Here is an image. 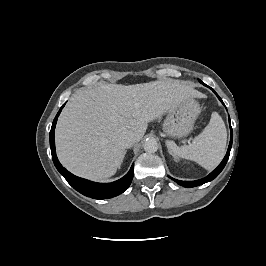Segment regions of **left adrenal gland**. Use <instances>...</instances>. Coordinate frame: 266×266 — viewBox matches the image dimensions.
<instances>
[{"mask_svg": "<svg viewBox=\"0 0 266 266\" xmlns=\"http://www.w3.org/2000/svg\"><path fill=\"white\" fill-rule=\"evenodd\" d=\"M169 153H170V154H172L170 150H169ZM172 155H173V154H172ZM173 156H174V155H173ZM174 159L177 161V159H176V157H175V156H174Z\"/></svg>", "mask_w": 266, "mask_h": 266, "instance_id": "a2214340", "label": "left adrenal gland"}]
</instances>
